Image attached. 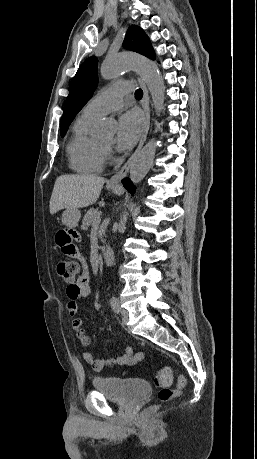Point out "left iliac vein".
<instances>
[{
    "mask_svg": "<svg viewBox=\"0 0 257 459\" xmlns=\"http://www.w3.org/2000/svg\"><path fill=\"white\" fill-rule=\"evenodd\" d=\"M121 315H122V322H123L124 324H127L128 319H129L128 311L123 309V310L121 311Z\"/></svg>",
    "mask_w": 257,
    "mask_h": 459,
    "instance_id": "obj_1",
    "label": "left iliac vein"
}]
</instances>
